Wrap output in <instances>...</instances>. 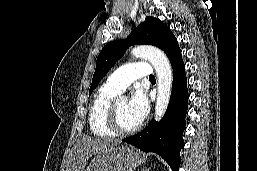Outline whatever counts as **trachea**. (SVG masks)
<instances>
[{
    "label": "trachea",
    "mask_w": 257,
    "mask_h": 171,
    "mask_svg": "<svg viewBox=\"0 0 257 171\" xmlns=\"http://www.w3.org/2000/svg\"><path fill=\"white\" fill-rule=\"evenodd\" d=\"M149 79H150V80H154L155 77H154L153 75H150V76H149Z\"/></svg>",
    "instance_id": "obj_1"
}]
</instances>
